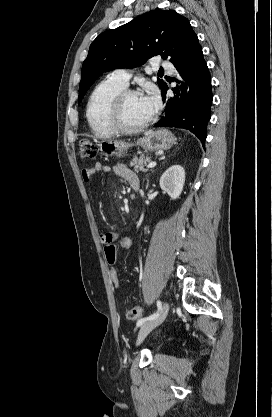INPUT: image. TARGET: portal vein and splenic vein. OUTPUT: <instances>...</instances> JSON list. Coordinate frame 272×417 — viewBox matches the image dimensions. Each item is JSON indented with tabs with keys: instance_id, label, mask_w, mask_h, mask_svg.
<instances>
[{
	"instance_id": "obj_1",
	"label": "portal vein and splenic vein",
	"mask_w": 272,
	"mask_h": 417,
	"mask_svg": "<svg viewBox=\"0 0 272 417\" xmlns=\"http://www.w3.org/2000/svg\"><path fill=\"white\" fill-rule=\"evenodd\" d=\"M156 166V162H151L147 165V168H153Z\"/></svg>"
}]
</instances>
